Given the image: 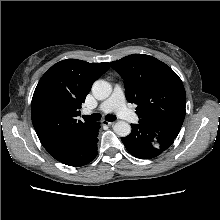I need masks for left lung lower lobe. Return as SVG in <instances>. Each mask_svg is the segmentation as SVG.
<instances>
[{
	"label": "left lung lower lobe",
	"instance_id": "0a47b994",
	"mask_svg": "<svg viewBox=\"0 0 220 220\" xmlns=\"http://www.w3.org/2000/svg\"><path fill=\"white\" fill-rule=\"evenodd\" d=\"M131 133L122 138L127 151L140 159L158 156L172 145L175 138L160 133L155 124H131Z\"/></svg>",
	"mask_w": 220,
	"mask_h": 220
}]
</instances>
